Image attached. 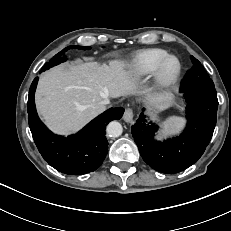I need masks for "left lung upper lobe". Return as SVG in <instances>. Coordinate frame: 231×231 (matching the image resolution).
Instances as JSON below:
<instances>
[{"instance_id": "left-lung-upper-lobe-1", "label": "left lung upper lobe", "mask_w": 231, "mask_h": 231, "mask_svg": "<svg viewBox=\"0 0 231 231\" xmlns=\"http://www.w3.org/2000/svg\"><path fill=\"white\" fill-rule=\"evenodd\" d=\"M190 58L192 61V68L185 75L180 89H198L210 93H216L214 83L209 78V75L206 73L203 66L193 56H191Z\"/></svg>"}]
</instances>
